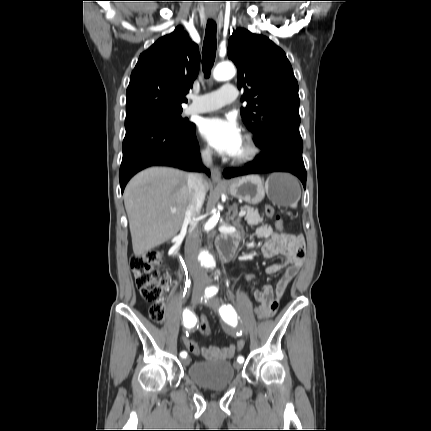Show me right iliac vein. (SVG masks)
Returning a JSON list of instances; mask_svg holds the SVG:
<instances>
[{"label": "right iliac vein", "instance_id": "1", "mask_svg": "<svg viewBox=\"0 0 431 431\" xmlns=\"http://www.w3.org/2000/svg\"><path fill=\"white\" fill-rule=\"evenodd\" d=\"M200 297H201V292H200V291H194V292H193V294H192V299H191L192 304H196V303H198V301H199ZM189 362H190V359H189V358H185V359L182 361V364H183L184 366H186V365H188V364H189Z\"/></svg>", "mask_w": 431, "mask_h": 431}]
</instances>
